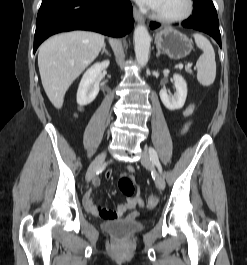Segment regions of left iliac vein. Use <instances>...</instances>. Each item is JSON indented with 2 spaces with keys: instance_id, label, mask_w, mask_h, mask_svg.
Masks as SVG:
<instances>
[{
  "instance_id": "4c4485c4",
  "label": "left iliac vein",
  "mask_w": 247,
  "mask_h": 265,
  "mask_svg": "<svg viewBox=\"0 0 247 265\" xmlns=\"http://www.w3.org/2000/svg\"><path fill=\"white\" fill-rule=\"evenodd\" d=\"M141 163L146 168H152V162L150 156L146 151H143L141 155ZM156 185L160 190L165 188V180L160 174H156Z\"/></svg>"
}]
</instances>
